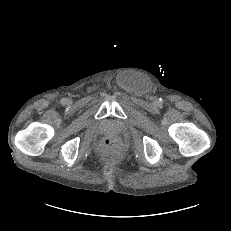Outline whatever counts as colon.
Segmentation results:
<instances>
[{"instance_id": "5ec220e1", "label": "colon", "mask_w": 231, "mask_h": 231, "mask_svg": "<svg viewBox=\"0 0 231 231\" xmlns=\"http://www.w3.org/2000/svg\"><path fill=\"white\" fill-rule=\"evenodd\" d=\"M101 150L105 154H114L117 150V144L115 140L106 138L101 143Z\"/></svg>"}]
</instances>
